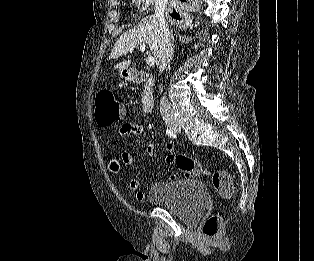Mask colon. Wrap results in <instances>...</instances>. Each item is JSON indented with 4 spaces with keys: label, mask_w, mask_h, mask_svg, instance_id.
Segmentation results:
<instances>
[{
    "label": "colon",
    "mask_w": 314,
    "mask_h": 261,
    "mask_svg": "<svg viewBox=\"0 0 314 261\" xmlns=\"http://www.w3.org/2000/svg\"><path fill=\"white\" fill-rule=\"evenodd\" d=\"M125 116V106L123 102L111 90L104 89L96 95L95 118L98 125L102 127L110 126L121 121ZM124 160L127 157L124 156ZM169 163L175 164L184 174L190 178L194 176H209L211 183L223 197H230L233 193V183L230 174L225 170H215L209 172L199 162L185 155L167 156ZM220 228V216L211 215L203 224L202 233L207 238L215 237Z\"/></svg>",
    "instance_id": "obj_1"
}]
</instances>
